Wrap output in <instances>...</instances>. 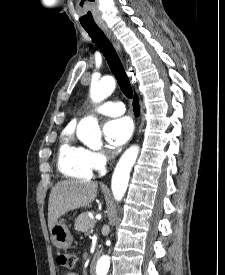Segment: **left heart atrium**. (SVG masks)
Wrapping results in <instances>:
<instances>
[{"label": "left heart atrium", "mask_w": 225, "mask_h": 275, "mask_svg": "<svg viewBox=\"0 0 225 275\" xmlns=\"http://www.w3.org/2000/svg\"><path fill=\"white\" fill-rule=\"evenodd\" d=\"M133 124L128 117L108 121L104 126V136L113 150H119L132 136Z\"/></svg>", "instance_id": "39dd6f15"}]
</instances>
